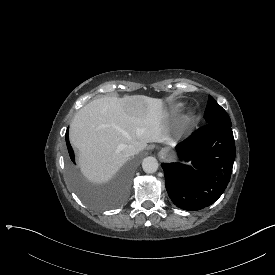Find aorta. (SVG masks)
Segmentation results:
<instances>
[{
    "instance_id": "obj_1",
    "label": "aorta",
    "mask_w": 275,
    "mask_h": 275,
    "mask_svg": "<svg viewBox=\"0 0 275 275\" xmlns=\"http://www.w3.org/2000/svg\"><path fill=\"white\" fill-rule=\"evenodd\" d=\"M142 167L146 173H154L158 169V161L154 157H146L143 159Z\"/></svg>"
}]
</instances>
